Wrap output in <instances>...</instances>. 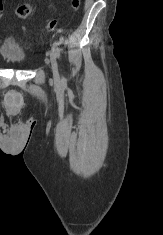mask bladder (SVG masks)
<instances>
[{
    "label": "bladder",
    "mask_w": 163,
    "mask_h": 235,
    "mask_svg": "<svg viewBox=\"0 0 163 235\" xmlns=\"http://www.w3.org/2000/svg\"><path fill=\"white\" fill-rule=\"evenodd\" d=\"M0 55L11 63H20L25 58V51L17 39L8 37L0 45Z\"/></svg>",
    "instance_id": "bladder-1"
}]
</instances>
